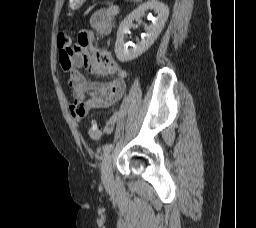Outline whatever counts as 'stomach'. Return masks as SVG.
<instances>
[{
  "label": "stomach",
  "mask_w": 256,
  "mask_h": 228,
  "mask_svg": "<svg viewBox=\"0 0 256 228\" xmlns=\"http://www.w3.org/2000/svg\"><path fill=\"white\" fill-rule=\"evenodd\" d=\"M86 0H69L68 1V7L71 9V10H77L79 9L83 3L85 2Z\"/></svg>",
  "instance_id": "obj_1"
}]
</instances>
